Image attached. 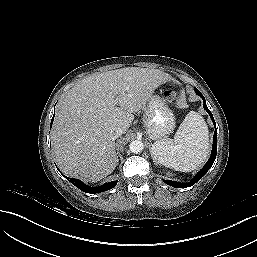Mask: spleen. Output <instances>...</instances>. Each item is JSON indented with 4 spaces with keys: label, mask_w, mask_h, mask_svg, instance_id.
<instances>
[{
    "label": "spleen",
    "mask_w": 257,
    "mask_h": 257,
    "mask_svg": "<svg viewBox=\"0 0 257 257\" xmlns=\"http://www.w3.org/2000/svg\"><path fill=\"white\" fill-rule=\"evenodd\" d=\"M208 127L196 112H189L173 139L152 144L155 160L176 171L190 172L201 166L209 153Z\"/></svg>",
    "instance_id": "1"
}]
</instances>
